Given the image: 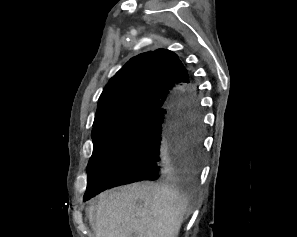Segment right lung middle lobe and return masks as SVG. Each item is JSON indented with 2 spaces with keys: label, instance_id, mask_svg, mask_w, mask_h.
<instances>
[{
  "label": "right lung middle lobe",
  "instance_id": "right-lung-middle-lobe-1",
  "mask_svg": "<svg viewBox=\"0 0 297 237\" xmlns=\"http://www.w3.org/2000/svg\"><path fill=\"white\" fill-rule=\"evenodd\" d=\"M150 115L149 113L125 115L93 127V154L87 166V189L84 201L111 183L117 166L139 137Z\"/></svg>",
  "mask_w": 297,
  "mask_h": 237
}]
</instances>
